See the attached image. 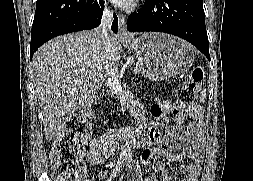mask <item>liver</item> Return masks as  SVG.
Instances as JSON below:
<instances>
[{
  "instance_id": "6515ba94",
  "label": "liver",
  "mask_w": 253,
  "mask_h": 181,
  "mask_svg": "<svg viewBox=\"0 0 253 181\" xmlns=\"http://www.w3.org/2000/svg\"><path fill=\"white\" fill-rule=\"evenodd\" d=\"M110 39L112 49L107 51L95 30L71 33L48 41L35 53L32 78L47 141L105 79L117 74L122 47L119 40Z\"/></svg>"
}]
</instances>
